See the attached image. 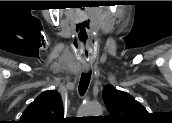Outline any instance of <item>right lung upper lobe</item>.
Here are the masks:
<instances>
[{
    "label": "right lung upper lobe",
    "instance_id": "1",
    "mask_svg": "<svg viewBox=\"0 0 172 123\" xmlns=\"http://www.w3.org/2000/svg\"><path fill=\"white\" fill-rule=\"evenodd\" d=\"M63 107L60 94L55 90L41 93L23 112L22 123H62Z\"/></svg>",
    "mask_w": 172,
    "mask_h": 123
}]
</instances>
